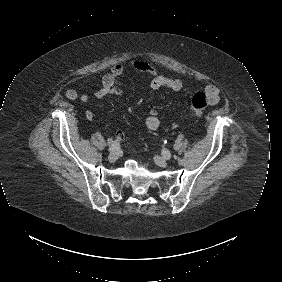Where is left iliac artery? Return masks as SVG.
Listing matches in <instances>:
<instances>
[{"mask_svg": "<svg viewBox=\"0 0 282 282\" xmlns=\"http://www.w3.org/2000/svg\"><path fill=\"white\" fill-rule=\"evenodd\" d=\"M162 155H163V157L166 158V159H169V158L171 157V153H170V151L167 150V149L162 150Z\"/></svg>", "mask_w": 282, "mask_h": 282, "instance_id": "left-iliac-artery-1", "label": "left iliac artery"}]
</instances>
